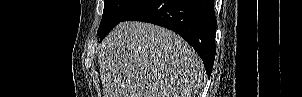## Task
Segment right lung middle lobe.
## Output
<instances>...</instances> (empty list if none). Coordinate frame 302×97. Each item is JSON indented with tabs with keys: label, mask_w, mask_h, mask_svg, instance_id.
I'll return each instance as SVG.
<instances>
[{
	"label": "right lung middle lobe",
	"mask_w": 302,
	"mask_h": 97,
	"mask_svg": "<svg viewBox=\"0 0 302 97\" xmlns=\"http://www.w3.org/2000/svg\"><path fill=\"white\" fill-rule=\"evenodd\" d=\"M143 0H104V11L98 29L99 38L102 40L112 28L133 10Z\"/></svg>",
	"instance_id": "dd1d6c3e"
}]
</instances>
